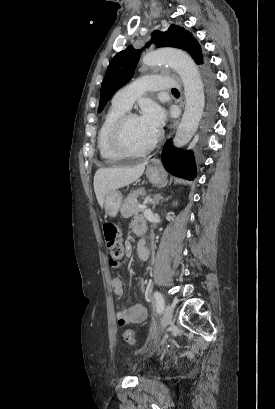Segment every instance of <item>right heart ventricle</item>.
Listing matches in <instances>:
<instances>
[{"label": "right heart ventricle", "mask_w": 275, "mask_h": 409, "mask_svg": "<svg viewBox=\"0 0 275 409\" xmlns=\"http://www.w3.org/2000/svg\"><path fill=\"white\" fill-rule=\"evenodd\" d=\"M128 111L112 104L100 126L97 145L101 157H122L111 147V135L116 121Z\"/></svg>", "instance_id": "1"}]
</instances>
